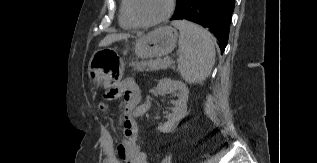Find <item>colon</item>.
Segmentation results:
<instances>
[{"instance_id": "1", "label": "colon", "mask_w": 317, "mask_h": 163, "mask_svg": "<svg viewBox=\"0 0 317 163\" xmlns=\"http://www.w3.org/2000/svg\"><path fill=\"white\" fill-rule=\"evenodd\" d=\"M100 108L105 109L106 108V104L105 103H99Z\"/></svg>"}]
</instances>
